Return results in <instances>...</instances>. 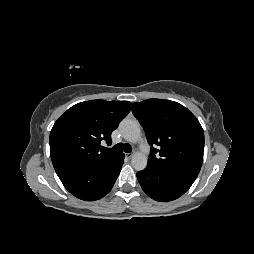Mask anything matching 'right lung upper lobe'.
Masks as SVG:
<instances>
[{"instance_id":"cb5924a9","label":"right lung upper lobe","mask_w":254,"mask_h":254,"mask_svg":"<svg viewBox=\"0 0 254 254\" xmlns=\"http://www.w3.org/2000/svg\"><path fill=\"white\" fill-rule=\"evenodd\" d=\"M128 101L91 100L69 108L50 132L54 169L75 163H96L117 156L102 152L101 141L111 144V133L129 113Z\"/></svg>"}]
</instances>
